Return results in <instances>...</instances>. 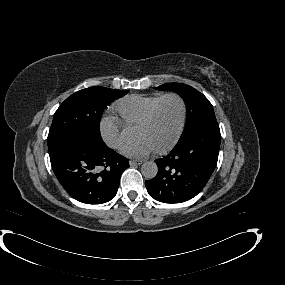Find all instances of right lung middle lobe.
<instances>
[{
    "instance_id": "dd1d6c3e",
    "label": "right lung middle lobe",
    "mask_w": 285,
    "mask_h": 285,
    "mask_svg": "<svg viewBox=\"0 0 285 285\" xmlns=\"http://www.w3.org/2000/svg\"><path fill=\"white\" fill-rule=\"evenodd\" d=\"M129 91L90 87L68 97L54 114L48 134V150L69 139L103 146L99 121L104 109Z\"/></svg>"
}]
</instances>
